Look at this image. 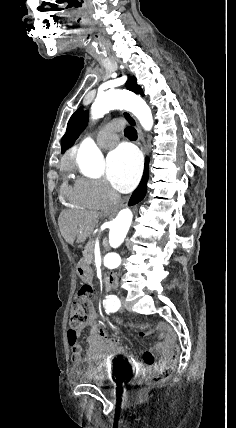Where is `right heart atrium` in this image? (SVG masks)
<instances>
[{
    "label": "right heart atrium",
    "mask_w": 236,
    "mask_h": 428,
    "mask_svg": "<svg viewBox=\"0 0 236 428\" xmlns=\"http://www.w3.org/2000/svg\"><path fill=\"white\" fill-rule=\"evenodd\" d=\"M78 188L85 198L95 202L100 206L114 202L118 198L116 192L112 190L104 181L79 179Z\"/></svg>",
    "instance_id": "right-heart-atrium-1"
}]
</instances>
